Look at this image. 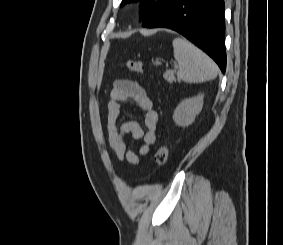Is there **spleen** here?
Here are the masks:
<instances>
[{"instance_id":"3e777b00","label":"spleen","mask_w":283,"mask_h":245,"mask_svg":"<svg viewBox=\"0 0 283 245\" xmlns=\"http://www.w3.org/2000/svg\"><path fill=\"white\" fill-rule=\"evenodd\" d=\"M174 58L179 64L178 80L188 83H199L214 79L218 67L208 55L189 41L175 38L172 42Z\"/></svg>"}]
</instances>
